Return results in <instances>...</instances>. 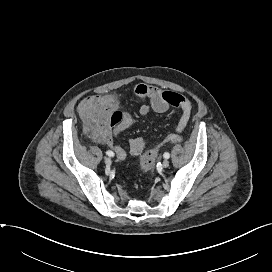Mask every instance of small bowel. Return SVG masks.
Here are the masks:
<instances>
[{
	"instance_id": "1",
	"label": "small bowel",
	"mask_w": 272,
	"mask_h": 272,
	"mask_svg": "<svg viewBox=\"0 0 272 272\" xmlns=\"http://www.w3.org/2000/svg\"><path fill=\"white\" fill-rule=\"evenodd\" d=\"M134 93L141 101V115L146 116L150 111L164 113L170 108H178L181 111V115L177 121L176 131L182 132L187 126L193 108L192 102L188 98L179 93L166 91L144 83L137 84L134 87ZM132 123L133 118L130 115H125L120 124L95 138L97 141L106 143L109 147L114 149L117 158L122 160L126 157V152L122 147L114 143L113 138L129 128ZM145 147L146 143L140 137L133 138L129 141V149L133 155L141 154Z\"/></svg>"
}]
</instances>
